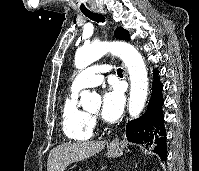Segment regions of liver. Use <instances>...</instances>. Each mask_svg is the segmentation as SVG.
I'll return each instance as SVG.
<instances>
[{
	"label": "liver",
	"instance_id": "6515ba94",
	"mask_svg": "<svg viewBox=\"0 0 199 171\" xmlns=\"http://www.w3.org/2000/svg\"><path fill=\"white\" fill-rule=\"evenodd\" d=\"M104 141L66 143L53 148L48 156L47 171H64L65 168L100 152Z\"/></svg>",
	"mask_w": 199,
	"mask_h": 171
}]
</instances>
